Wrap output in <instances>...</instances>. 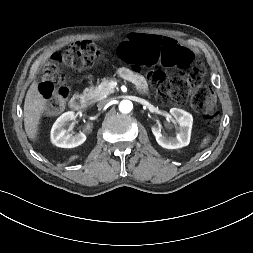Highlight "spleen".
I'll return each instance as SVG.
<instances>
[{
    "instance_id": "spleen-1",
    "label": "spleen",
    "mask_w": 253,
    "mask_h": 253,
    "mask_svg": "<svg viewBox=\"0 0 253 253\" xmlns=\"http://www.w3.org/2000/svg\"><path fill=\"white\" fill-rule=\"evenodd\" d=\"M208 142H209V138H205V139L202 141V143H201V145H200V148H204V147L207 145Z\"/></svg>"
}]
</instances>
